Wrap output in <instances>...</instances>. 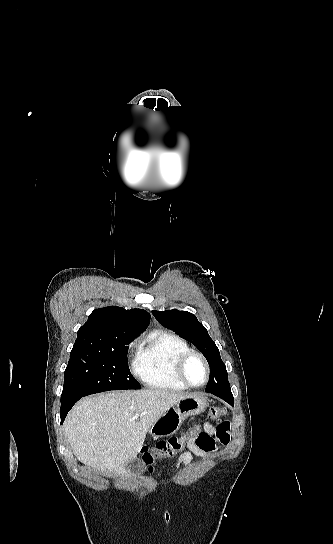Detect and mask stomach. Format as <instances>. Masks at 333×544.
<instances>
[{"label": "stomach", "instance_id": "obj_1", "mask_svg": "<svg viewBox=\"0 0 333 544\" xmlns=\"http://www.w3.org/2000/svg\"><path fill=\"white\" fill-rule=\"evenodd\" d=\"M208 406L207 398L188 395L179 400L171 409L163 414L150 428L149 434L154 438L175 434L181 423L189 416L200 414Z\"/></svg>", "mask_w": 333, "mask_h": 544}]
</instances>
